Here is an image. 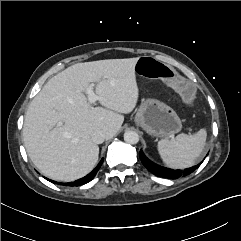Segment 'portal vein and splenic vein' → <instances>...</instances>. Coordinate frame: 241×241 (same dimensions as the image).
<instances>
[{"label": "portal vein and splenic vein", "mask_w": 241, "mask_h": 241, "mask_svg": "<svg viewBox=\"0 0 241 241\" xmlns=\"http://www.w3.org/2000/svg\"><path fill=\"white\" fill-rule=\"evenodd\" d=\"M94 83H91L87 88H86V94L88 96V101L89 103L93 104L98 100V96L94 93L93 91Z\"/></svg>", "instance_id": "1"}]
</instances>
